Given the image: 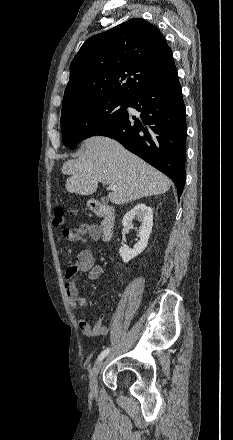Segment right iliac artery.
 <instances>
[{
	"mask_svg": "<svg viewBox=\"0 0 233 440\" xmlns=\"http://www.w3.org/2000/svg\"><path fill=\"white\" fill-rule=\"evenodd\" d=\"M109 351H110L109 348H107L104 351H102L100 353V355L98 356L97 360H102L103 358H105L108 355Z\"/></svg>",
	"mask_w": 233,
	"mask_h": 440,
	"instance_id": "right-iliac-artery-1",
	"label": "right iliac artery"
}]
</instances>
